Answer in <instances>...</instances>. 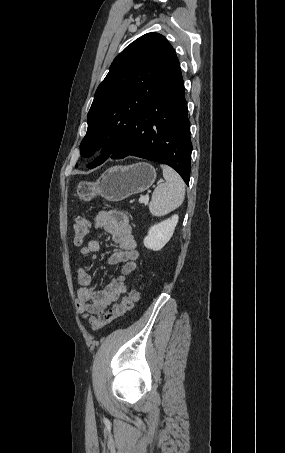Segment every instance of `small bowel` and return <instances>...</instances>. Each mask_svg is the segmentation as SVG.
<instances>
[{"mask_svg": "<svg viewBox=\"0 0 285 453\" xmlns=\"http://www.w3.org/2000/svg\"><path fill=\"white\" fill-rule=\"evenodd\" d=\"M93 225L96 229L110 234L111 241L118 247V250L111 253L108 262L110 264L122 263V267L119 275L102 290L96 289L85 266L80 265L76 268V281L79 285L76 307L83 317L102 312L127 291V278L136 269V261L139 257L131 224L125 213L117 210L102 211L94 217ZM99 249V240L91 238L80 249V255L89 257Z\"/></svg>", "mask_w": 285, "mask_h": 453, "instance_id": "small-bowel-1", "label": "small bowel"}]
</instances>
